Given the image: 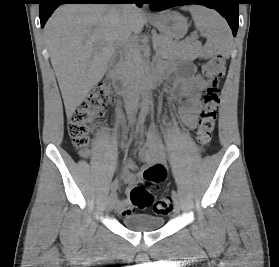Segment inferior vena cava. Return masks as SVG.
Segmentation results:
<instances>
[{
	"instance_id": "602c4592",
	"label": "inferior vena cava",
	"mask_w": 279,
	"mask_h": 267,
	"mask_svg": "<svg viewBox=\"0 0 279 267\" xmlns=\"http://www.w3.org/2000/svg\"><path fill=\"white\" fill-rule=\"evenodd\" d=\"M119 8L122 11L123 16L125 17V20H130V16L138 10L137 6L134 3H123L119 5ZM131 33L127 32L126 38H130ZM127 42H125L123 45H125V48L127 47Z\"/></svg>"
}]
</instances>
